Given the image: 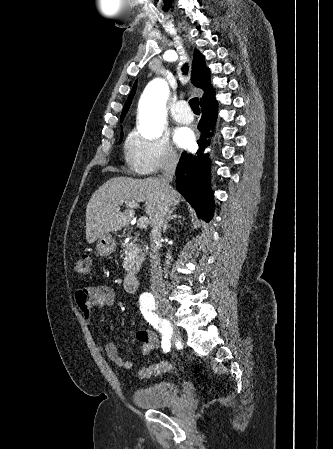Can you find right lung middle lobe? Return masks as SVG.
Instances as JSON below:
<instances>
[{
	"label": "right lung middle lobe",
	"mask_w": 333,
	"mask_h": 449,
	"mask_svg": "<svg viewBox=\"0 0 333 449\" xmlns=\"http://www.w3.org/2000/svg\"><path fill=\"white\" fill-rule=\"evenodd\" d=\"M123 120V118L121 119V121ZM122 137H123V132H121V139L120 142L122 141Z\"/></svg>",
	"instance_id": "1"
}]
</instances>
